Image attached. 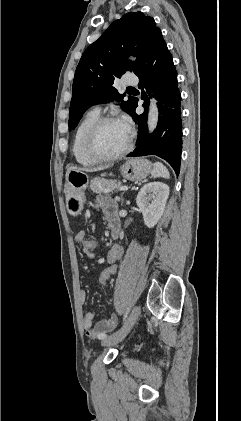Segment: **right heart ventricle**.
<instances>
[{
  "label": "right heart ventricle",
  "mask_w": 241,
  "mask_h": 421,
  "mask_svg": "<svg viewBox=\"0 0 241 421\" xmlns=\"http://www.w3.org/2000/svg\"><path fill=\"white\" fill-rule=\"evenodd\" d=\"M99 118V113L91 110L88 111L77 125L73 140L72 154L76 162L83 166L95 165L98 161L90 157L85 150V137L91 125Z\"/></svg>",
  "instance_id": "right-heart-ventricle-1"
}]
</instances>
